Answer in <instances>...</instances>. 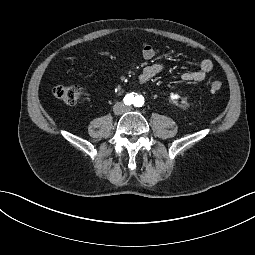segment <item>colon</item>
<instances>
[{"instance_id": "1", "label": "colon", "mask_w": 255, "mask_h": 255, "mask_svg": "<svg viewBox=\"0 0 255 255\" xmlns=\"http://www.w3.org/2000/svg\"><path fill=\"white\" fill-rule=\"evenodd\" d=\"M222 82L220 80H213L210 83V89L213 93L218 92L222 88ZM83 90L76 85H58L53 89V95L68 105H76L82 99Z\"/></svg>"}]
</instances>
